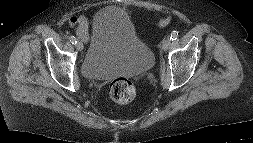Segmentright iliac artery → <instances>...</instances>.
<instances>
[{
    "label": "right iliac artery",
    "instance_id": "82829eb1",
    "mask_svg": "<svg viewBox=\"0 0 253 143\" xmlns=\"http://www.w3.org/2000/svg\"><path fill=\"white\" fill-rule=\"evenodd\" d=\"M69 40L72 44H75L77 42L76 38L74 36H70Z\"/></svg>",
    "mask_w": 253,
    "mask_h": 143
}]
</instances>
